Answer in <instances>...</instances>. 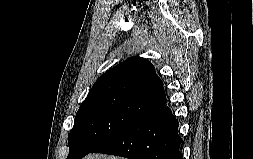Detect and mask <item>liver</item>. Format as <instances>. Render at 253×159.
Masks as SVG:
<instances>
[{"mask_svg":"<svg viewBox=\"0 0 253 159\" xmlns=\"http://www.w3.org/2000/svg\"><path fill=\"white\" fill-rule=\"evenodd\" d=\"M83 159H125V158H121L118 156H108V155L90 153L87 156H85Z\"/></svg>","mask_w":253,"mask_h":159,"instance_id":"6515ba94","label":"liver"}]
</instances>
